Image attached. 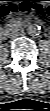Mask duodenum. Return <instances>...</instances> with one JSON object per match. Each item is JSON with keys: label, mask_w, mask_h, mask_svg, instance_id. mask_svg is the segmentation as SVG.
Here are the masks:
<instances>
[{"label": "duodenum", "mask_w": 50, "mask_h": 111, "mask_svg": "<svg viewBox=\"0 0 50 111\" xmlns=\"http://www.w3.org/2000/svg\"><path fill=\"white\" fill-rule=\"evenodd\" d=\"M7 35H8V30H3L2 32H1V37L2 38H5V37H7Z\"/></svg>", "instance_id": "obj_1"}]
</instances>
